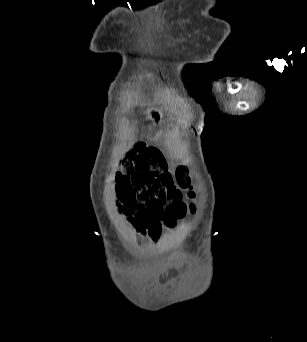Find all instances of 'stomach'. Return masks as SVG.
Returning a JSON list of instances; mask_svg holds the SVG:
<instances>
[{
	"label": "stomach",
	"instance_id": "obj_1",
	"mask_svg": "<svg viewBox=\"0 0 307 342\" xmlns=\"http://www.w3.org/2000/svg\"><path fill=\"white\" fill-rule=\"evenodd\" d=\"M149 116H150V118L153 119L154 121H159L160 118H161L159 112L156 111V110L150 111V112H149Z\"/></svg>",
	"mask_w": 307,
	"mask_h": 342
}]
</instances>
